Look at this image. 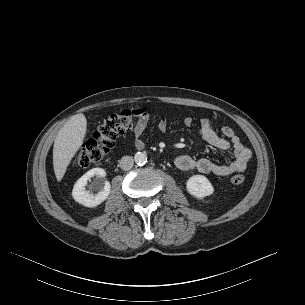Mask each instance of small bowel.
<instances>
[{
  "label": "small bowel",
  "instance_id": "1",
  "mask_svg": "<svg viewBox=\"0 0 305 305\" xmlns=\"http://www.w3.org/2000/svg\"><path fill=\"white\" fill-rule=\"evenodd\" d=\"M134 113L137 116V122L133 129V135L136 145L140 147L143 145L141 137L147 126L149 115L141 108L135 109ZM198 123L201 139L219 150H232L233 159L227 164H220L208 159H194L187 155H180L174 159L175 167L182 171L196 170L201 173L216 176H228L243 172L252 154L250 149L241 143L234 130L228 126H224L221 129V135H219L215 131L214 124L210 119L200 118ZM183 124L186 127H191L194 124V119L190 116L185 117ZM157 128L162 133L167 131L168 122L165 117L159 119Z\"/></svg>",
  "mask_w": 305,
  "mask_h": 305
}]
</instances>
